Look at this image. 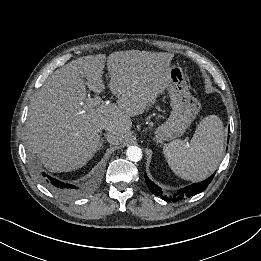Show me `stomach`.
Segmentation results:
<instances>
[{
	"label": "stomach",
	"instance_id": "obj_1",
	"mask_svg": "<svg viewBox=\"0 0 261 261\" xmlns=\"http://www.w3.org/2000/svg\"><path fill=\"white\" fill-rule=\"evenodd\" d=\"M167 91L171 101L169 118L154 131L157 143L176 139L184 134L198 115L201 105L190 93L183 69L170 66Z\"/></svg>",
	"mask_w": 261,
	"mask_h": 261
}]
</instances>
